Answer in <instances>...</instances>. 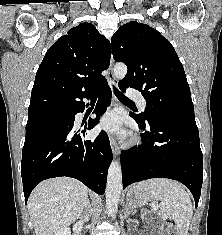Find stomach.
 <instances>
[{
	"label": "stomach",
	"instance_id": "stomach-1",
	"mask_svg": "<svg viewBox=\"0 0 222 235\" xmlns=\"http://www.w3.org/2000/svg\"><path fill=\"white\" fill-rule=\"evenodd\" d=\"M150 200V196L147 193L139 191L136 186L130 188L127 193V203L132 208L142 206Z\"/></svg>",
	"mask_w": 222,
	"mask_h": 235
}]
</instances>
